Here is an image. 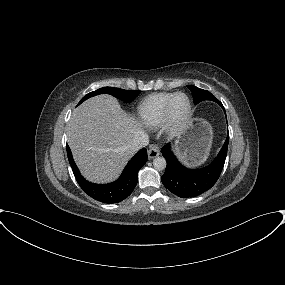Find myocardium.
<instances>
[{
	"label": "myocardium",
	"instance_id": "1",
	"mask_svg": "<svg viewBox=\"0 0 285 285\" xmlns=\"http://www.w3.org/2000/svg\"><path fill=\"white\" fill-rule=\"evenodd\" d=\"M181 95L187 98L188 108H187L185 115L182 118H176L174 115V102L176 98ZM192 113H193V105H192V101L190 97L184 92H176L171 97L166 107L165 118L162 123V127L164 131L168 133L169 135H175L179 133L188 124L189 120L191 119Z\"/></svg>",
	"mask_w": 285,
	"mask_h": 285
}]
</instances>
